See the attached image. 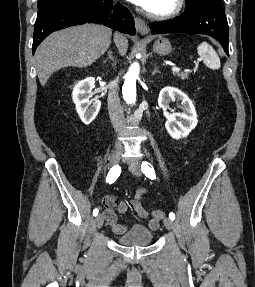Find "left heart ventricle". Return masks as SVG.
<instances>
[{"label": "left heart ventricle", "instance_id": "obj_1", "mask_svg": "<svg viewBox=\"0 0 255 287\" xmlns=\"http://www.w3.org/2000/svg\"><path fill=\"white\" fill-rule=\"evenodd\" d=\"M149 33H163V32H149ZM150 39H160V38H150ZM138 48H168V47H138Z\"/></svg>", "mask_w": 255, "mask_h": 287}]
</instances>
